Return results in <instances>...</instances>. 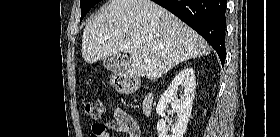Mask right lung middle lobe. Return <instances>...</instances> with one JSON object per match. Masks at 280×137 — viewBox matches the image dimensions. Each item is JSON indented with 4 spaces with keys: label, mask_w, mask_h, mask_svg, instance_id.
<instances>
[{
    "label": "right lung middle lobe",
    "mask_w": 280,
    "mask_h": 137,
    "mask_svg": "<svg viewBox=\"0 0 280 137\" xmlns=\"http://www.w3.org/2000/svg\"><path fill=\"white\" fill-rule=\"evenodd\" d=\"M100 1L101 0H81L80 1V6H81V10H82L80 22L82 21L83 17L90 11V9Z\"/></svg>",
    "instance_id": "dd1d6c3e"
}]
</instances>
